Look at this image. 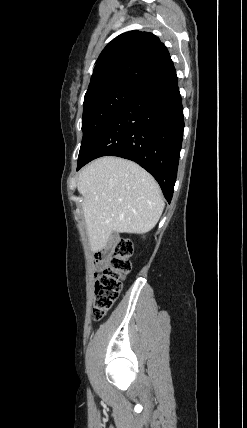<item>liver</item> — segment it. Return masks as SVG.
Returning <instances> with one entry per match:
<instances>
[{
	"mask_svg": "<svg viewBox=\"0 0 247 428\" xmlns=\"http://www.w3.org/2000/svg\"><path fill=\"white\" fill-rule=\"evenodd\" d=\"M77 188L84 197L82 206L93 251L105 248L113 232L150 231L165 206L155 179L122 158L95 160L79 173Z\"/></svg>",
	"mask_w": 247,
	"mask_h": 428,
	"instance_id": "1",
	"label": "liver"
}]
</instances>
